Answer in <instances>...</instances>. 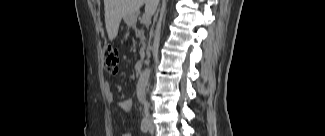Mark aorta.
Returning a JSON list of instances; mask_svg holds the SVG:
<instances>
[{"label": "aorta", "instance_id": "aorta-1", "mask_svg": "<svg viewBox=\"0 0 325 136\" xmlns=\"http://www.w3.org/2000/svg\"><path fill=\"white\" fill-rule=\"evenodd\" d=\"M150 73H151V69L146 68L142 72V74L137 82L136 94H137L138 101L142 104L144 103V99H145V95H146V88H147L148 81L150 78Z\"/></svg>", "mask_w": 325, "mask_h": 136}]
</instances>
